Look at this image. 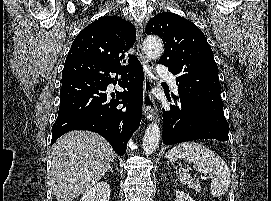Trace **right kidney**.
I'll return each instance as SVG.
<instances>
[{"label":"right kidney","mask_w":271,"mask_h":201,"mask_svg":"<svg viewBox=\"0 0 271 201\" xmlns=\"http://www.w3.org/2000/svg\"><path fill=\"white\" fill-rule=\"evenodd\" d=\"M110 186L107 182L101 181L88 190L80 201H109Z\"/></svg>","instance_id":"right-kidney-1"}]
</instances>
